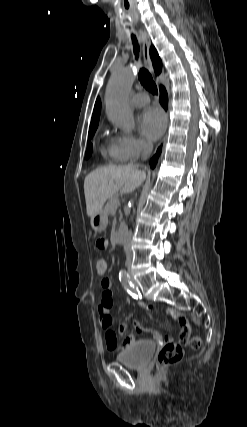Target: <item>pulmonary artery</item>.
Listing matches in <instances>:
<instances>
[{"mask_svg": "<svg viewBox=\"0 0 247 427\" xmlns=\"http://www.w3.org/2000/svg\"><path fill=\"white\" fill-rule=\"evenodd\" d=\"M131 103L135 107H142L149 103V97L144 93H138L132 97Z\"/></svg>", "mask_w": 247, "mask_h": 427, "instance_id": "1", "label": "pulmonary artery"}]
</instances>
